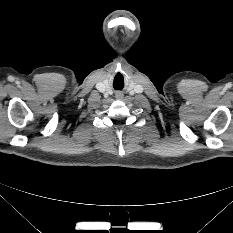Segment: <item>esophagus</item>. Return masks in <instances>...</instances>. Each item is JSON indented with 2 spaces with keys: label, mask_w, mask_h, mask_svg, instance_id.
<instances>
[{
  "label": "esophagus",
  "mask_w": 233,
  "mask_h": 233,
  "mask_svg": "<svg viewBox=\"0 0 233 233\" xmlns=\"http://www.w3.org/2000/svg\"><path fill=\"white\" fill-rule=\"evenodd\" d=\"M121 96H123V95H122V94H117V95H116V97H121Z\"/></svg>",
  "instance_id": "obj_1"
}]
</instances>
